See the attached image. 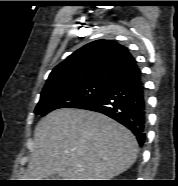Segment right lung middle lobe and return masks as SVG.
<instances>
[{"mask_svg":"<svg viewBox=\"0 0 178 186\" xmlns=\"http://www.w3.org/2000/svg\"><path fill=\"white\" fill-rule=\"evenodd\" d=\"M109 84L89 83L41 93L35 114L45 116L60 108H78L102 93Z\"/></svg>","mask_w":178,"mask_h":186,"instance_id":"right-lung-middle-lobe-1","label":"right lung middle lobe"}]
</instances>
